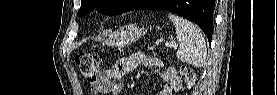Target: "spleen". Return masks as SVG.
Wrapping results in <instances>:
<instances>
[{
	"instance_id": "spleen-1",
	"label": "spleen",
	"mask_w": 277,
	"mask_h": 95,
	"mask_svg": "<svg viewBox=\"0 0 277 95\" xmlns=\"http://www.w3.org/2000/svg\"><path fill=\"white\" fill-rule=\"evenodd\" d=\"M168 18L175 26L176 38L179 43L177 58L196 67L204 66L207 50L200 29L192 22L174 14H169Z\"/></svg>"
}]
</instances>
